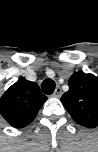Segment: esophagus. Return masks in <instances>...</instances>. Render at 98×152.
<instances>
[{
    "mask_svg": "<svg viewBox=\"0 0 98 152\" xmlns=\"http://www.w3.org/2000/svg\"><path fill=\"white\" fill-rule=\"evenodd\" d=\"M61 95H62V90H61L60 86H57L54 93H53V96L60 97Z\"/></svg>",
    "mask_w": 98,
    "mask_h": 152,
    "instance_id": "esophagus-1",
    "label": "esophagus"
}]
</instances>
